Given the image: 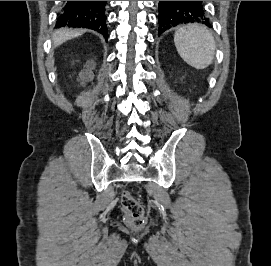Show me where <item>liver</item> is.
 <instances>
[{"label": "liver", "instance_id": "6515ba94", "mask_svg": "<svg viewBox=\"0 0 271 266\" xmlns=\"http://www.w3.org/2000/svg\"><path fill=\"white\" fill-rule=\"evenodd\" d=\"M85 31L82 29H69L61 28L55 32L53 35L54 46H59L63 42L70 40L72 38L82 35Z\"/></svg>", "mask_w": 271, "mask_h": 266}]
</instances>
